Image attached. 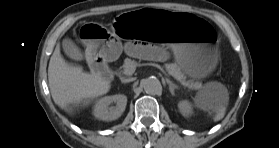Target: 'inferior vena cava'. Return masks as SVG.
I'll list each match as a JSON object with an SVG mask.
<instances>
[{
	"label": "inferior vena cava",
	"mask_w": 279,
	"mask_h": 148,
	"mask_svg": "<svg viewBox=\"0 0 279 148\" xmlns=\"http://www.w3.org/2000/svg\"><path fill=\"white\" fill-rule=\"evenodd\" d=\"M135 79L134 78H128V79H124L123 82H131V81H134Z\"/></svg>",
	"instance_id": "obj_1"
}]
</instances>
